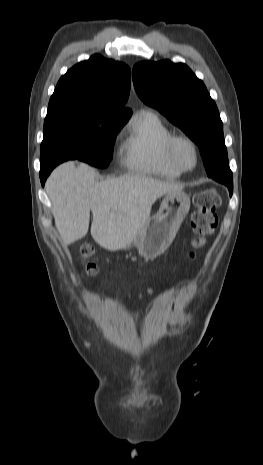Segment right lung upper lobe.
Segmentation results:
<instances>
[{
    "mask_svg": "<svg viewBox=\"0 0 263 465\" xmlns=\"http://www.w3.org/2000/svg\"><path fill=\"white\" fill-rule=\"evenodd\" d=\"M130 83L131 70L127 65L96 54L60 78L48 108L79 106L131 115V110L124 106Z\"/></svg>",
    "mask_w": 263,
    "mask_h": 465,
    "instance_id": "obj_1",
    "label": "right lung upper lobe"
}]
</instances>
